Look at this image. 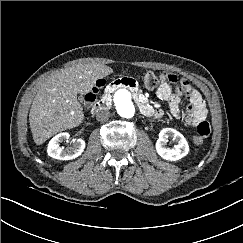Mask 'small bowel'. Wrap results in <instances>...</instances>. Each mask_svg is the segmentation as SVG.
I'll return each mask as SVG.
<instances>
[{"mask_svg":"<svg viewBox=\"0 0 243 243\" xmlns=\"http://www.w3.org/2000/svg\"><path fill=\"white\" fill-rule=\"evenodd\" d=\"M164 81L157 89L156 95L159 99L167 101L171 115L178 119L181 117L179 104L182 97H185L189 105L186 109L185 122L197 129L199 135L207 137L211 128L207 121V108L202 95L193 88L184 78H178L173 73H164ZM163 115L161 109L154 110L153 116L160 118Z\"/></svg>","mask_w":243,"mask_h":243,"instance_id":"c3829d8e","label":"small bowel"}]
</instances>
